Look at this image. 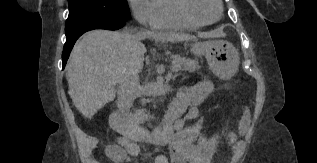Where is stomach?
Here are the masks:
<instances>
[{
    "mask_svg": "<svg viewBox=\"0 0 317 163\" xmlns=\"http://www.w3.org/2000/svg\"><path fill=\"white\" fill-rule=\"evenodd\" d=\"M188 46L192 54L205 56L211 69L221 78L231 77L238 69V52L229 42L219 40L195 41Z\"/></svg>",
    "mask_w": 317,
    "mask_h": 163,
    "instance_id": "stomach-1",
    "label": "stomach"
}]
</instances>
